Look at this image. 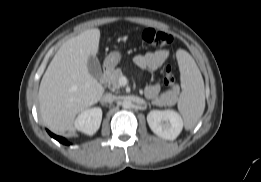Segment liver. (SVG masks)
<instances>
[{
  "label": "liver",
  "mask_w": 261,
  "mask_h": 182,
  "mask_svg": "<svg viewBox=\"0 0 261 182\" xmlns=\"http://www.w3.org/2000/svg\"><path fill=\"white\" fill-rule=\"evenodd\" d=\"M99 40L98 28L67 40L44 73L38 98L42 120L51 131H73L76 115L101 99L104 88L88 71V58L98 53Z\"/></svg>",
  "instance_id": "1"
}]
</instances>
